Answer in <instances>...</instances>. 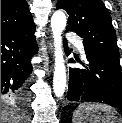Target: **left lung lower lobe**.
Here are the masks:
<instances>
[{
  "instance_id": "left-lung-lower-lobe-1",
  "label": "left lung lower lobe",
  "mask_w": 122,
  "mask_h": 123,
  "mask_svg": "<svg viewBox=\"0 0 122 123\" xmlns=\"http://www.w3.org/2000/svg\"><path fill=\"white\" fill-rule=\"evenodd\" d=\"M67 50V42L65 41ZM86 69H69V101L101 102L122 110V75L118 57L86 48ZM67 55L70 53L68 51ZM71 63L80 62L78 56Z\"/></svg>"
}]
</instances>
